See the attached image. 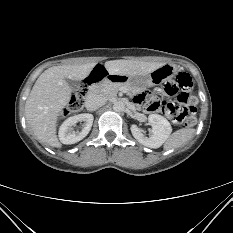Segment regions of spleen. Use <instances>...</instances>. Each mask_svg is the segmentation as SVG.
<instances>
[{
	"label": "spleen",
	"mask_w": 233,
	"mask_h": 233,
	"mask_svg": "<svg viewBox=\"0 0 233 233\" xmlns=\"http://www.w3.org/2000/svg\"><path fill=\"white\" fill-rule=\"evenodd\" d=\"M195 133L194 129L182 128L175 131L166 141L164 145L165 150L174 149L185 145L189 140L192 139Z\"/></svg>",
	"instance_id": "obj_1"
}]
</instances>
